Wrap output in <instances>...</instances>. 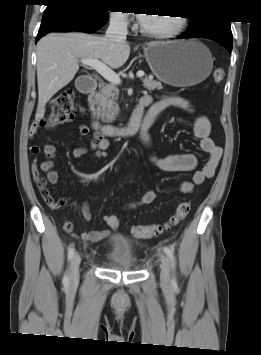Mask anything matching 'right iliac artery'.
Segmentation results:
<instances>
[{"instance_id": "1", "label": "right iliac artery", "mask_w": 261, "mask_h": 355, "mask_svg": "<svg viewBox=\"0 0 261 355\" xmlns=\"http://www.w3.org/2000/svg\"><path fill=\"white\" fill-rule=\"evenodd\" d=\"M74 256V248L73 247H70L69 248V251H68V260L71 261V259L73 258ZM63 283L65 285H68L69 284V277H68V274H65V276L63 277Z\"/></svg>"}]
</instances>
